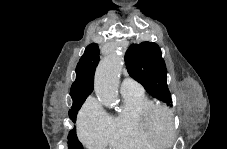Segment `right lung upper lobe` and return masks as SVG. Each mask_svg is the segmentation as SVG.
I'll use <instances>...</instances> for the list:
<instances>
[{"mask_svg": "<svg viewBox=\"0 0 227 149\" xmlns=\"http://www.w3.org/2000/svg\"><path fill=\"white\" fill-rule=\"evenodd\" d=\"M98 44L92 43L85 49L76 67V80L71 86L70 95L73 99L71 109H76L94 89V74L99 62Z\"/></svg>", "mask_w": 227, "mask_h": 149, "instance_id": "obj_1", "label": "right lung upper lobe"}]
</instances>
